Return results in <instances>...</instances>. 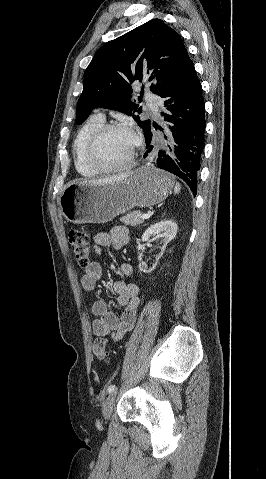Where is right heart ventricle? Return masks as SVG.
I'll return each mask as SVG.
<instances>
[{"label":"right heart ventricle","instance_id":"obj_1","mask_svg":"<svg viewBox=\"0 0 266 479\" xmlns=\"http://www.w3.org/2000/svg\"><path fill=\"white\" fill-rule=\"evenodd\" d=\"M102 124L104 119L101 115L91 116L78 130L74 144V165L79 174L85 177H95L98 175L87 163L85 158V149L92 133Z\"/></svg>","mask_w":266,"mask_h":479}]
</instances>
